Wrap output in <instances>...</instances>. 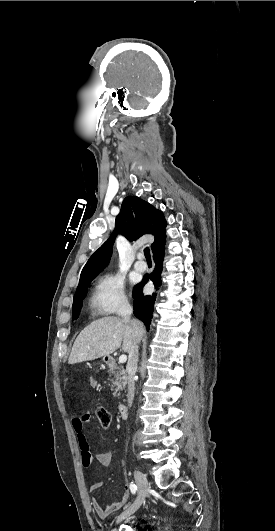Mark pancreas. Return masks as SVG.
Instances as JSON below:
<instances>
[{
	"instance_id": "pancreas-1",
	"label": "pancreas",
	"mask_w": 275,
	"mask_h": 531,
	"mask_svg": "<svg viewBox=\"0 0 275 531\" xmlns=\"http://www.w3.org/2000/svg\"><path fill=\"white\" fill-rule=\"evenodd\" d=\"M109 373L110 377H113V379H110L112 383V391H114L113 395L114 397H119V391H122L127 385L128 377L126 371H124L121 365H117L113 359L111 365H109Z\"/></svg>"
}]
</instances>
